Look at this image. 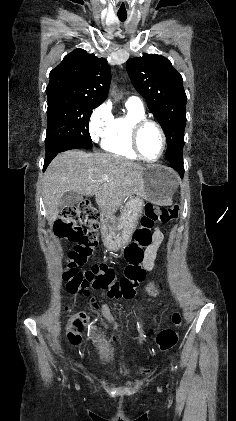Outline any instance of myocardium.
<instances>
[{
  "instance_id": "1",
  "label": "myocardium",
  "mask_w": 236,
  "mask_h": 421,
  "mask_svg": "<svg viewBox=\"0 0 236 421\" xmlns=\"http://www.w3.org/2000/svg\"><path fill=\"white\" fill-rule=\"evenodd\" d=\"M145 125L154 126L158 130V132L161 136V140H162L161 153L158 156V158H156L154 160H151V159H148L147 157H145L144 154L142 153L141 149H140V146H139L140 131ZM130 139H131L132 147H133L135 153L137 154V156L140 159H142V160H144L148 163L159 162L163 158V156L166 152V147H167L166 133H165L164 129L162 128V126L154 120H151V119H148V118H141V119H138V120L134 121L131 125V128H130Z\"/></svg>"
}]
</instances>
